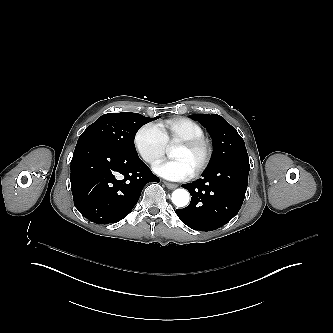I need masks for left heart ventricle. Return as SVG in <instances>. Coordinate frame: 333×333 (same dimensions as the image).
<instances>
[{"instance_id":"1","label":"left heart ventricle","mask_w":333,"mask_h":333,"mask_svg":"<svg viewBox=\"0 0 333 333\" xmlns=\"http://www.w3.org/2000/svg\"><path fill=\"white\" fill-rule=\"evenodd\" d=\"M199 158H200L199 153L191 151L183 145H181L179 150L174 155V159L186 162L194 170L198 164Z\"/></svg>"}]
</instances>
